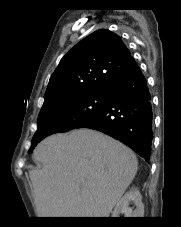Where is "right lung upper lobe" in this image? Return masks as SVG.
Wrapping results in <instances>:
<instances>
[{
	"label": "right lung upper lobe",
	"instance_id": "obj_1",
	"mask_svg": "<svg viewBox=\"0 0 181 227\" xmlns=\"http://www.w3.org/2000/svg\"><path fill=\"white\" fill-rule=\"evenodd\" d=\"M134 60L121 39L98 30L76 44L51 75L42 109L58 101L108 89Z\"/></svg>",
	"mask_w": 181,
	"mask_h": 227
}]
</instances>
